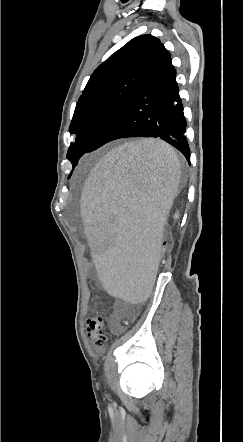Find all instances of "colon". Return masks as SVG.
<instances>
[{"label":"colon","mask_w":243,"mask_h":442,"mask_svg":"<svg viewBox=\"0 0 243 442\" xmlns=\"http://www.w3.org/2000/svg\"><path fill=\"white\" fill-rule=\"evenodd\" d=\"M170 242L171 239L168 236L163 237L162 243H161V251L159 253L158 260L160 262H163L165 258H167L168 253L170 251ZM106 318L102 314H97L94 316H91L87 320V332L88 336L93 341L94 345L96 347H103L106 342Z\"/></svg>","instance_id":"obj_1"}]
</instances>
